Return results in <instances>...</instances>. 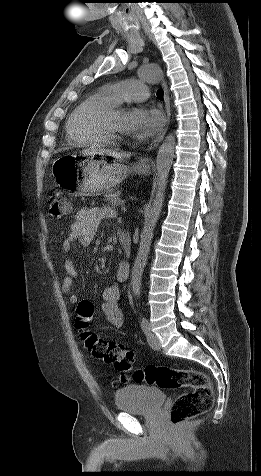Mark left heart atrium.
Instances as JSON below:
<instances>
[{"label": "left heart atrium", "mask_w": 261, "mask_h": 476, "mask_svg": "<svg viewBox=\"0 0 261 476\" xmlns=\"http://www.w3.org/2000/svg\"><path fill=\"white\" fill-rule=\"evenodd\" d=\"M125 124L128 133L138 138H147L159 131L163 117L156 109L137 107L127 113Z\"/></svg>", "instance_id": "39dd6f15"}]
</instances>
